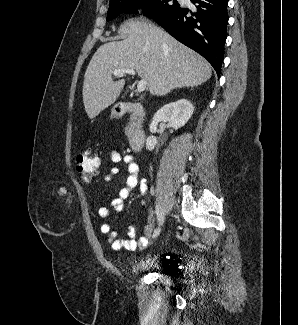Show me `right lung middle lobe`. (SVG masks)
<instances>
[{
	"label": "right lung middle lobe",
	"mask_w": 298,
	"mask_h": 325,
	"mask_svg": "<svg viewBox=\"0 0 298 325\" xmlns=\"http://www.w3.org/2000/svg\"><path fill=\"white\" fill-rule=\"evenodd\" d=\"M170 1L171 0H114L109 4L106 20L110 21L121 13H136V8L139 6H144L147 10L146 15L150 18H154L167 10L180 6L175 0L173 4H171Z\"/></svg>",
	"instance_id": "1"
}]
</instances>
